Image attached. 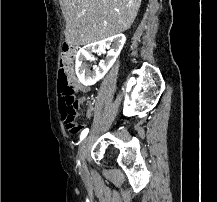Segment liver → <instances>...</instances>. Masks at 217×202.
I'll use <instances>...</instances> for the list:
<instances>
[{"instance_id": "obj_1", "label": "liver", "mask_w": 217, "mask_h": 202, "mask_svg": "<svg viewBox=\"0 0 217 202\" xmlns=\"http://www.w3.org/2000/svg\"><path fill=\"white\" fill-rule=\"evenodd\" d=\"M66 20V44L85 46L111 38L132 26L141 0H60Z\"/></svg>"}]
</instances>
